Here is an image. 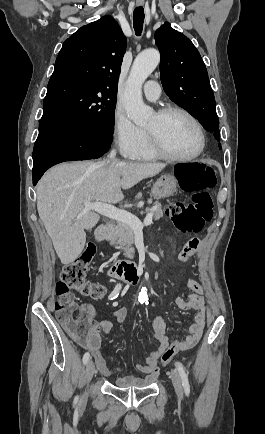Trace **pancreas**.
<instances>
[{
	"label": "pancreas",
	"mask_w": 265,
	"mask_h": 434,
	"mask_svg": "<svg viewBox=\"0 0 265 434\" xmlns=\"http://www.w3.org/2000/svg\"><path fill=\"white\" fill-rule=\"evenodd\" d=\"M146 212L147 214H152L154 220L163 218V212L159 202H154L153 208H146ZM140 214H145V212H140ZM106 240L110 242V246H114L116 250H126L127 256L133 254V248H131V246L134 244V230H132L128 224L117 222V226H110Z\"/></svg>",
	"instance_id": "1"
}]
</instances>
